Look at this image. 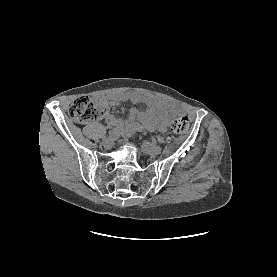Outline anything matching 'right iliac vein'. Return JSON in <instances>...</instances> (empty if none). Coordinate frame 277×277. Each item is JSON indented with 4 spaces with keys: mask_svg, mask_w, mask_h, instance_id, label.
Listing matches in <instances>:
<instances>
[{
    "mask_svg": "<svg viewBox=\"0 0 277 277\" xmlns=\"http://www.w3.org/2000/svg\"><path fill=\"white\" fill-rule=\"evenodd\" d=\"M114 141H115L114 136H110V137L106 138V139L102 142V145H103L105 148H110V147L113 146Z\"/></svg>",
    "mask_w": 277,
    "mask_h": 277,
    "instance_id": "obj_1",
    "label": "right iliac vein"
}]
</instances>
